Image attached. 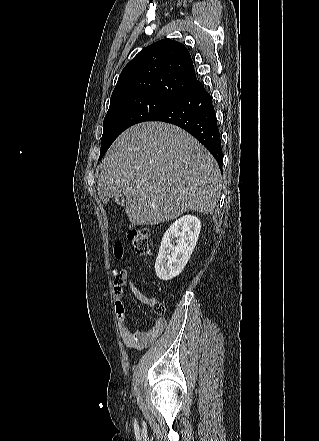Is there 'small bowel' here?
<instances>
[{
    "instance_id": "obj_1",
    "label": "small bowel",
    "mask_w": 319,
    "mask_h": 441,
    "mask_svg": "<svg viewBox=\"0 0 319 441\" xmlns=\"http://www.w3.org/2000/svg\"><path fill=\"white\" fill-rule=\"evenodd\" d=\"M124 250L121 244H116L114 247V256L121 259ZM128 286L133 296L140 302L155 306L157 301L154 297L144 294L136 284L129 279L127 271L119 270L115 276L113 287L115 313L117 318V327L119 335L124 344L131 348L144 349L152 345L163 333L166 327L165 319H158L152 327L144 331H132L126 321V307L124 303V287Z\"/></svg>"
}]
</instances>
